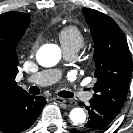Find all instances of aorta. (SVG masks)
<instances>
[{"mask_svg": "<svg viewBox=\"0 0 133 133\" xmlns=\"http://www.w3.org/2000/svg\"><path fill=\"white\" fill-rule=\"evenodd\" d=\"M61 59V50L55 44L43 45L37 52V61L43 67L55 66ZM70 120L75 125L86 121V113L82 108H73L69 114Z\"/></svg>", "mask_w": 133, "mask_h": 133, "instance_id": "762f6f07", "label": "aorta"}]
</instances>
